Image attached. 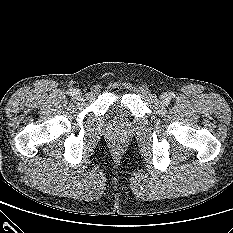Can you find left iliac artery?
Segmentation results:
<instances>
[{"mask_svg": "<svg viewBox=\"0 0 233 233\" xmlns=\"http://www.w3.org/2000/svg\"><path fill=\"white\" fill-rule=\"evenodd\" d=\"M174 96H175V94H174L173 92H171V93H170V97L173 98Z\"/></svg>", "mask_w": 233, "mask_h": 233, "instance_id": "44dca946", "label": "left iliac artery"}]
</instances>
